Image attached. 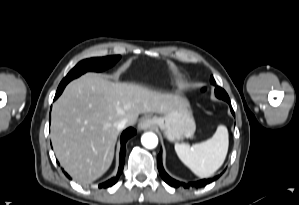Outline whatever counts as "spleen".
<instances>
[{
  "label": "spleen",
  "mask_w": 299,
  "mask_h": 205,
  "mask_svg": "<svg viewBox=\"0 0 299 205\" xmlns=\"http://www.w3.org/2000/svg\"><path fill=\"white\" fill-rule=\"evenodd\" d=\"M229 138L226 126L220 125L212 138L195 144H175L179 159L197 176L210 177L224 163Z\"/></svg>",
  "instance_id": "obj_1"
}]
</instances>
